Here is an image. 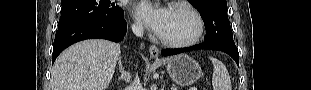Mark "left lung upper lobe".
Here are the masks:
<instances>
[{
    "label": "left lung upper lobe",
    "mask_w": 311,
    "mask_h": 90,
    "mask_svg": "<svg viewBox=\"0 0 311 90\" xmlns=\"http://www.w3.org/2000/svg\"><path fill=\"white\" fill-rule=\"evenodd\" d=\"M194 8L201 14L206 24L205 41H224L234 43L226 0H191Z\"/></svg>",
    "instance_id": "1"
}]
</instances>
